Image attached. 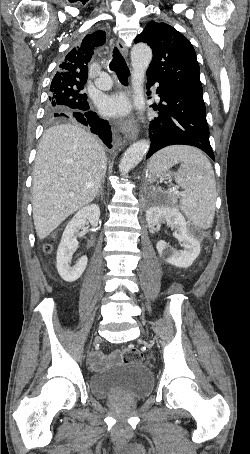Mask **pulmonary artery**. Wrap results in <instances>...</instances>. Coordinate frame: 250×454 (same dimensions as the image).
I'll return each instance as SVG.
<instances>
[{
	"label": "pulmonary artery",
	"instance_id": "e3ab8cb5",
	"mask_svg": "<svg viewBox=\"0 0 250 454\" xmlns=\"http://www.w3.org/2000/svg\"><path fill=\"white\" fill-rule=\"evenodd\" d=\"M95 86L100 90H108L112 87V80L106 74H101L98 79L95 80ZM156 97L157 94L155 93Z\"/></svg>",
	"mask_w": 250,
	"mask_h": 454
}]
</instances>
